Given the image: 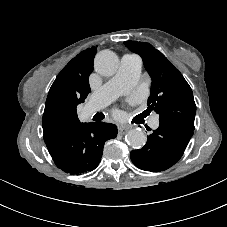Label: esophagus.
<instances>
[{
    "instance_id": "obj_1",
    "label": "esophagus",
    "mask_w": 227,
    "mask_h": 227,
    "mask_svg": "<svg viewBox=\"0 0 227 227\" xmlns=\"http://www.w3.org/2000/svg\"><path fill=\"white\" fill-rule=\"evenodd\" d=\"M128 129H129L128 126L119 125V126H118V133H119V134H124Z\"/></svg>"
}]
</instances>
